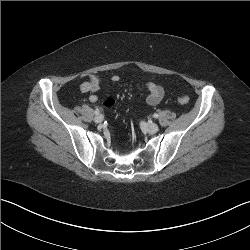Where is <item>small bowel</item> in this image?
<instances>
[{"label":"small bowel","instance_id":"small-bowel-1","mask_svg":"<svg viewBox=\"0 0 250 250\" xmlns=\"http://www.w3.org/2000/svg\"><path fill=\"white\" fill-rule=\"evenodd\" d=\"M110 80L112 83H118L121 80V77L119 75H113ZM138 85L148 90L149 93L146 98L148 105L154 106L162 101L165 95V89L163 86L151 80L139 81ZM99 87L100 84L98 78L95 76H90L88 80L81 85V90L83 92H89V100L91 102H96L98 100L97 91L99 90Z\"/></svg>","mask_w":250,"mask_h":250}]
</instances>
